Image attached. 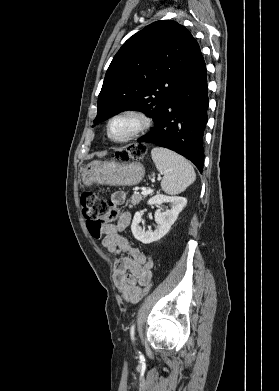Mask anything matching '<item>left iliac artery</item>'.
<instances>
[{
    "instance_id": "44dca946",
    "label": "left iliac artery",
    "mask_w": 279,
    "mask_h": 391,
    "mask_svg": "<svg viewBox=\"0 0 279 391\" xmlns=\"http://www.w3.org/2000/svg\"><path fill=\"white\" fill-rule=\"evenodd\" d=\"M130 334H131V339L134 340V325H132L131 327Z\"/></svg>"
}]
</instances>
